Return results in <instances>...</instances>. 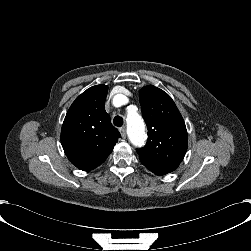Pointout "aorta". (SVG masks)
Here are the masks:
<instances>
[{"mask_svg":"<svg viewBox=\"0 0 251 251\" xmlns=\"http://www.w3.org/2000/svg\"><path fill=\"white\" fill-rule=\"evenodd\" d=\"M126 132L129 140L135 147L145 145L147 135L142 117L135 111L129 110L126 117Z\"/></svg>","mask_w":251,"mask_h":251,"instance_id":"obj_1","label":"aorta"}]
</instances>
